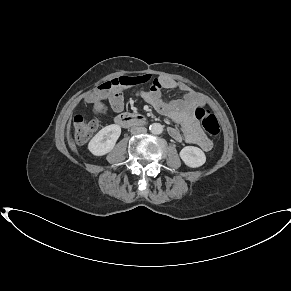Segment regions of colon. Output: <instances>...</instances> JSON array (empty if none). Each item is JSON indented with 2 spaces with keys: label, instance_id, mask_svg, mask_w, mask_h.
Segmentation results:
<instances>
[{
  "label": "colon",
  "instance_id": "obj_1",
  "mask_svg": "<svg viewBox=\"0 0 291 291\" xmlns=\"http://www.w3.org/2000/svg\"><path fill=\"white\" fill-rule=\"evenodd\" d=\"M143 77H118L106 81L97 87L100 95H105L117 88H126L139 83H145ZM195 116L201 122L205 132L212 137H217L220 133V126L217 118L208 109L197 107ZM74 137L78 143L86 142L98 129V121L90 119L86 114H78L73 118Z\"/></svg>",
  "mask_w": 291,
  "mask_h": 291
}]
</instances>
